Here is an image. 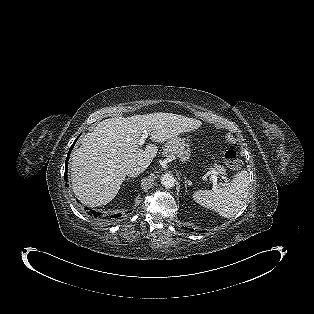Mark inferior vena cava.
Wrapping results in <instances>:
<instances>
[{"mask_svg":"<svg viewBox=\"0 0 314 314\" xmlns=\"http://www.w3.org/2000/svg\"><path fill=\"white\" fill-rule=\"evenodd\" d=\"M142 171H144V167L139 164H130L126 167L125 173L129 177H136L138 176Z\"/></svg>","mask_w":314,"mask_h":314,"instance_id":"inferior-vena-cava-1","label":"inferior vena cava"}]
</instances>
